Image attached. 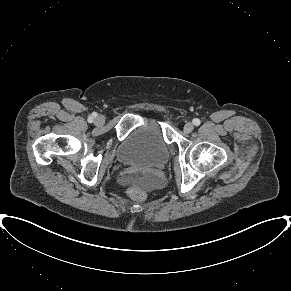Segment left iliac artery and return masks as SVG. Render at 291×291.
<instances>
[{
  "instance_id": "44dca946",
  "label": "left iliac artery",
  "mask_w": 291,
  "mask_h": 291,
  "mask_svg": "<svg viewBox=\"0 0 291 291\" xmlns=\"http://www.w3.org/2000/svg\"><path fill=\"white\" fill-rule=\"evenodd\" d=\"M200 123H201V121H200L198 118L193 119V124H194L195 126H199Z\"/></svg>"
}]
</instances>
